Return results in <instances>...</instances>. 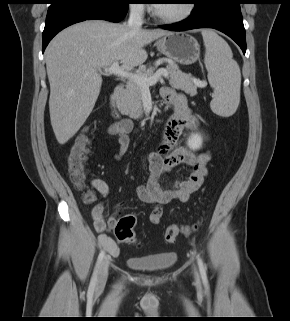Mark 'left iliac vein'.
<instances>
[{"label":"left iliac vein","mask_w":290,"mask_h":321,"mask_svg":"<svg viewBox=\"0 0 290 321\" xmlns=\"http://www.w3.org/2000/svg\"><path fill=\"white\" fill-rule=\"evenodd\" d=\"M193 273H194L195 281H196L197 283H200L199 274H198V271H197V269H196L195 266H193Z\"/></svg>","instance_id":"1"}]
</instances>
